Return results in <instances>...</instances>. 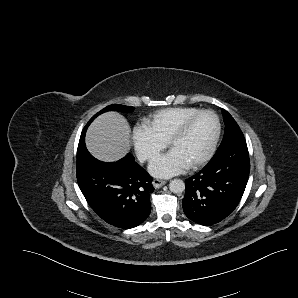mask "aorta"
I'll return each instance as SVG.
<instances>
[{
  "mask_svg": "<svg viewBox=\"0 0 298 298\" xmlns=\"http://www.w3.org/2000/svg\"><path fill=\"white\" fill-rule=\"evenodd\" d=\"M169 190L172 193H182L185 190V182L181 179H173L169 182Z\"/></svg>",
  "mask_w": 298,
  "mask_h": 298,
  "instance_id": "762f6f07",
  "label": "aorta"
}]
</instances>
